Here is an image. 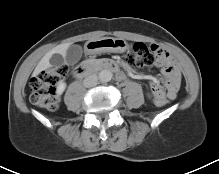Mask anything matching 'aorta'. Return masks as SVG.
I'll use <instances>...</instances> for the list:
<instances>
[{
  "label": "aorta",
  "mask_w": 219,
  "mask_h": 174,
  "mask_svg": "<svg viewBox=\"0 0 219 174\" xmlns=\"http://www.w3.org/2000/svg\"><path fill=\"white\" fill-rule=\"evenodd\" d=\"M113 77V74L110 70H102L99 73V80L101 82H109Z\"/></svg>",
  "instance_id": "obj_1"
}]
</instances>
